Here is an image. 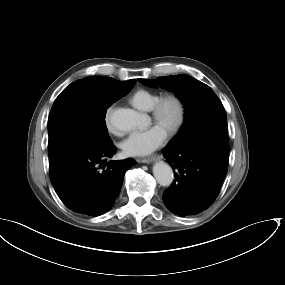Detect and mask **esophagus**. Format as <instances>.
Masks as SVG:
<instances>
[{
	"mask_svg": "<svg viewBox=\"0 0 285 285\" xmlns=\"http://www.w3.org/2000/svg\"><path fill=\"white\" fill-rule=\"evenodd\" d=\"M161 159V156L160 155H152V156H149L147 158H137V162H141V163H151L153 161H157Z\"/></svg>",
	"mask_w": 285,
	"mask_h": 285,
	"instance_id": "34e87169",
	"label": "esophagus"
}]
</instances>
